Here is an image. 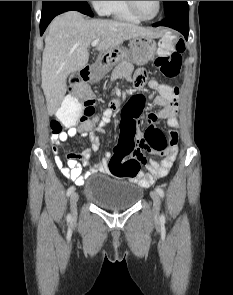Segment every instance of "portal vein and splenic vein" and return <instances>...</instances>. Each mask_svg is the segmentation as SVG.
<instances>
[{
    "instance_id": "obj_1",
    "label": "portal vein and splenic vein",
    "mask_w": 233,
    "mask_h": 295,
    "mask_svg": "<svg viewBox=\"0 0 233 295\" xmlns=\"http://www.w3.org/2000/svg\"><path fill=\"white\" fill-rule=\"evenodd\" d=\"M98 43H99V40L96 39V40H93V41H92L91 45H92V47H95V46L98 45Z\"/></svg>"
}]
</instances>
